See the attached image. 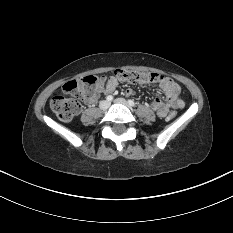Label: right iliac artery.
I'll list each match as a JSON object with an SVG mask.
<instances>
[{
	"label": "right iliac artery",
	"instance_id": "right-iliac-artery-1",
	"mask_svg": "<svg viewBox=\"0 0 233 233\" xmlns=\"http://www.w3.org/2000/svg\"><path fill=\"white\" fill-rule=\"evenodd\" d=\"M107 101H112L113 100V96H111V95H109V96H107Z\"/></svg>",
	"mask_w": 233,
	"mask_h": 233
}]
</instances>
